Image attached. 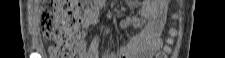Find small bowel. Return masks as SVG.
Instances as JSON below:
<instances>
[{
    "label": "small bowel",
    "instance_id": "c3829d8e",
    "mask_svg": "<svg viewBox=\"0 0 225 58\" xmlns=\"http://www.w3.org/2000/svg\"><path fill=\"white\" fill-rule=\"evenodd\" d=\"M106 0H94L85 8L82 17L81 38L76 45L78 58H99V46L102 37L111 31V26L103 24L101 33L87 46L88 31L101 25L100 13L106 6ZM144 18L126 17L118 23L119 29L134 24L141 28L140 39L128 46H120L116 50H107L103 58H133L135 55L151 56L156 53L160 46V32L163 27L167 2L152 1L144 7Z\"/></svg>",
    "mask_w": 225,
    "mask_h": 58
}]
</instances>
